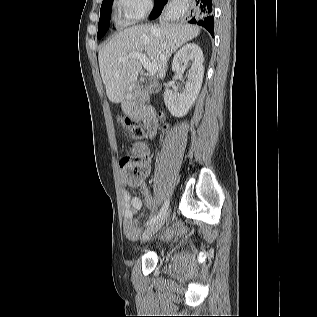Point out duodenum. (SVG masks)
<instances>
[{"label":"duodenum","mask_w":317,"mask_h":317,"mask_svg":"<svg viewBox=\"0 0 317 317\" xmlns=\"http://www.w3.org/2000/svg\"><path fill=\"white\" fill-rule=\"evenodd\" d=\"M122 105L125 115H139L146 125L149 136H155L157 131L156 114L152 108L146 107L147 103L144 100H124Z\"/></svg>","instance_id":"obj_1"}]
</instances>
